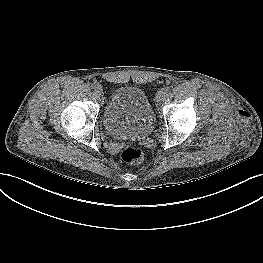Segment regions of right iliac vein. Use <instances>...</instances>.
<instances>
[{
    "label": "right iliac vein",
    "mask_w": 263,
    "mask_h": 263,
    "mask_svg": "<svg viewBox=\"0 0 263 263\" xmlns=\"http://www.w3.org/2000/svg\"><path fill=\"white\" fill-rule=\"evenodd\" d=\"M95 91H96V94L98 95V96H100V95H102V88L100 87V88H97V89H95Z\"/></svg>",
    "instance_id": "right-iliac-vein-1"
}]
</instances>
